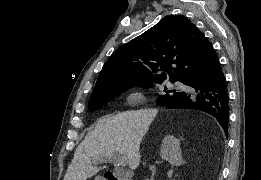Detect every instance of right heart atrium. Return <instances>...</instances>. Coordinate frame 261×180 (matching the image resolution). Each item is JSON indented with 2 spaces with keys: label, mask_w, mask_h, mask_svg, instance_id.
Returning <instances> with one entry per match:
<instances>
[{
  "label": "right heart atrium",
  "mask_w": 261,
  "mask_h": 180,
  "mask_svg": "<svg viewBox=\"0 0 261 180\" xmlns=\"http://www.w3.org/2000/svg\"><path fill=\"white\" fill-rule=\"evenodd\" d=\"M143 99V96L140 93L132 94L128 97L129 104H136Z\"/></svg>",
  "instance_id": "obj_1"
}]
</instances>
